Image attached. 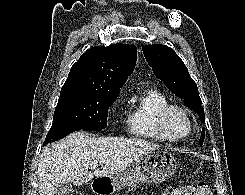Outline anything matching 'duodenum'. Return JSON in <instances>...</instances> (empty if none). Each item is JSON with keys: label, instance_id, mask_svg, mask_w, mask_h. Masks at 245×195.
Listing matches in <instances>:
<instances>
[{"label": "duodenum", "instance_id": "obj_1", "mask_svg": "<svg viewBox=\"0 0 245 195\" xmlns=\"http://www.w3.org/2000/svg\"><path fill=\"white\" fill-rule=\"evenodd\" d=\"M94 191L97 195H109L112 192V186L109 181L95 182L93 184Z\"/></svg>", "mask_w": 245, "mask_h": 195}]
</instances>
